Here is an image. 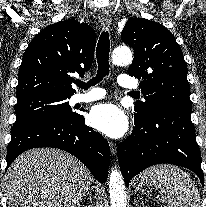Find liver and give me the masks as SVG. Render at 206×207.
Instances as JSON below:
<instances>
[{
  "label": "liver",
  "mask_w": 206,
  "mask_h": 207,
  "mask_svg": "<svg viewBox=\"0 0 206 207\" xmlns=\"http://www.w3.org/2000/svg\"><path fill=\"white\" fill-rule=\"evenodd\" d=\"M92 181L74 156L54 148L19 155L8 168L4 192L9 207H76Z\"/></svg>",
  "instance_id": "obj_1"
}]
</instances>
